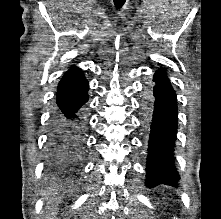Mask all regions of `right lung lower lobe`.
<instances>
[{"label":"right lung lower lobe","mask_w":221,"mask_h":219,"mask_svg":"<svg viewBox=\"0 0 221 219\" xmlns=\"http://www.w3.org/2000/svg\"><path fill=\"white\" fill-rule=\"evenodd\" d=\"M88 81L73 66L58 84L57 106L49 124L48 163L54 168L69 166L83 148V106L88 100Z\"/></svg>","instance_id":"obj_1"}]
</instances>
